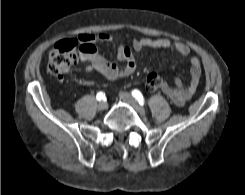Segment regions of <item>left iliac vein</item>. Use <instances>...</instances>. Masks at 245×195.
I'll list each match as a JSON object with an SVG mask.
<instances>
[{
	"instance_id": "1",
	"label": "left iliac vein",
	"mask_w": 245,
	"mask_h": 195,
	"mask_svg": "<svg viewBox=\"0 0 245 195\" xmlns=\"http://www.w3.org/2000/svg\"><path fill=\"white\" fill-rule=\"evenodd\" d=\"M119 96L123 101L131 105L139 115L142 117L146 115L145 110L138 104L137 100L132 95L127 92H120Z\"/></svg>"
}]
</instances>
